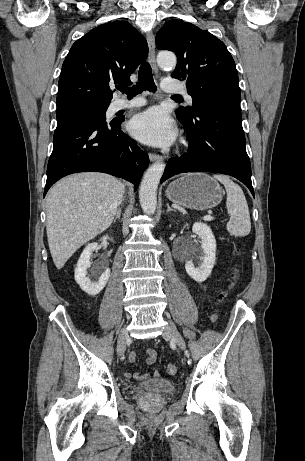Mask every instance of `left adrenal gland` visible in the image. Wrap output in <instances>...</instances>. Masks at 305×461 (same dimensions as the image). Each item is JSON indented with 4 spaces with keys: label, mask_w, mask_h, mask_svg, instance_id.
<instances>
[{
    "label": "left adrenal gland",
    "mask_w": 305,
    "mask_h": 461,
    "mask_svg": "<svg viewBox=\"0 0 305 461\" xmlns=\"http://www.w3.org/2000/svg\"><path fill=\"white\" fill-rule=\"evenodd\" d=\"M170 211H174V212H176V210L172 209V208L170 207V205H169V204H167V212H170Z\"/></svg>",
    "instance_id": "obj_1"
}]
</instances>
